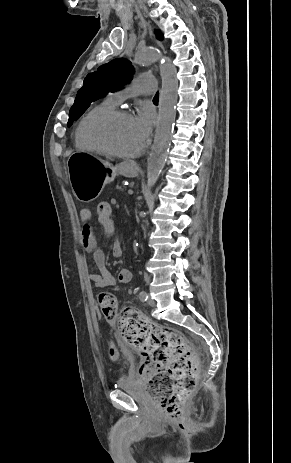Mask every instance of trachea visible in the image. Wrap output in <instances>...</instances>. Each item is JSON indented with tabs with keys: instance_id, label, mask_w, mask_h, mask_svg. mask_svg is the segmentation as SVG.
<instances>
[{
	"instance_id": "3493384b",
	"label": "trachea",
	"mask_w": 291,
	"mask_h": 463,
	"mask_svg": "<svg viewBox=\"0 0 291 463\" xmlns=\"http://www.w3.org/2000/svg\"><path fill=\"white\" fill-rule=\"evenodd\" d=\"M158 99H159V93H157V94L154 96L153 100L158 101Z\"/></svg>"
}]
</instances>
